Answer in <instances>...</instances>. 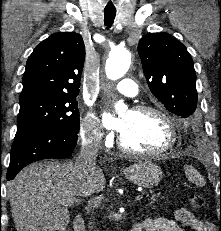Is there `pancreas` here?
Here are the masks:
<instances>
[{"label":"pancreas","instance_id":"1","mask_svg":"<svg viewBox=\"0 0 221 231\" xmlns=\"http://www.w3.org/2000/svg\"><path fill=\"white\" fill-rule=\"evenodd\" d=\"M158 197H160V194L158 193V194H153L152 196H151V200H155V198H158ZM161 198H164V197H161Z\"/></svg>","mask_w":221,"mask_h":231}]
</instances>
